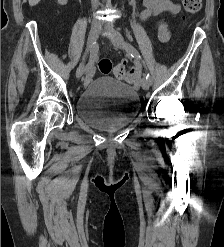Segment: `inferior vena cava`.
<instances>
[{
  "instance_id": "602c4592",
  "label": "inferior vena cava",
  "mask_w": 224,
  "mask_h": 247,
  "mask_svg": "<svg viewBox=\"0 0 224 247\" xmlns=\"http://www.w3.org/2000/svg\"><path fill=\"white\" fill-rule=\"evenodd\" d=\"M93 8H97L99 0H91ZM94 24H98L100 26V22H94Z\"/></svg>"
}]
</instances>
